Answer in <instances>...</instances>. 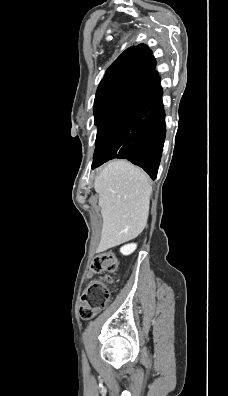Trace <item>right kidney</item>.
<instances>
[{"instance_id":"right-kidney-1","label":"right kidney","mask_w":228,"mask_h":396,"mask_svg":"<svg viewBox=\"0 0 228 396\" xmlns=\"http://www.w3.org/2000/svg\"><path fill=\"white\" fill-rule=\"evenodd\" d=\"M136 248H137V244L131 243V244H127V245L123 246L120 249V252L123 255H130V254H132L135 251Z\"/></svg>"}]
</instances>
